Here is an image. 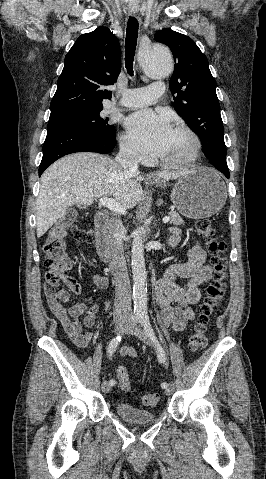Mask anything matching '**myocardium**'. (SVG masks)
<instances>
[{
	"label": "myocardium",
	"mask_w": 266,
	"mask_h": 479,
	"mask_svg": "<svg viewBox=\"0 0 266 479\" xmlns=\"http://www.w3.org/2000/svg\"><path fill=\"white\" fill-rule=\"evenodd\" d=\"M176 132H180L183 134H186L190 141H191V146L187 153L179 158L176 159H171V160H166V159H160L159 162L162 166L167 167V168H175V169H180V168H185L190 165H192L199 157L201 149H202V144L199 136L189 127L180 125L175 128Z\"/></svg>",
	"instance_id": "obj_1"
}]
</instances>
